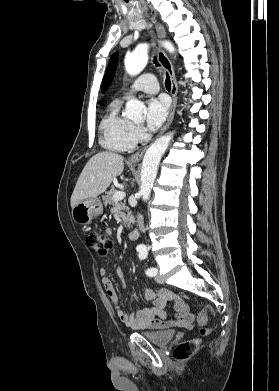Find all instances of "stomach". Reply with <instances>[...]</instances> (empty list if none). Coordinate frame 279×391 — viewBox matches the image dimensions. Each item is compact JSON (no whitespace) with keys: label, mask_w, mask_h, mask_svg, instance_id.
<instances>
[{"label":"stomach","mask_w":279,"mask_h":391,"mask_svg":"<svg viewBox=\"0 0 279 391\" xmlns=\"http://www.w3.org/2000/svg\"><path fill=\"white\" fill-rule=\"evenodd\" d=\"M102 213L103 205L98 197L82 201L72 208V218L78 224H88Z\"/></svg>","instance_id":"1"}]
</instances>
